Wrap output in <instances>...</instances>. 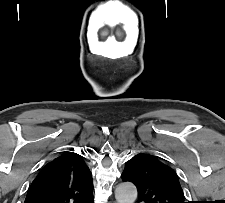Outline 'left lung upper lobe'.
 I'll return each instance as SVG.
<instances>
[{"label": "left lung upper lobe", "mask_w": 225, "mask_h": 203, "mask_svg": "<svg viewBox=\"0 0 225 203\" xmlns=\"http://www.w3.org/2000/svg\"><path fill=\"white\" fill-rule=\"evenodd\" d=\"M121 177L135 184L139 202L185 203L176 173L153 155L139 153L133 156L127 161Z\"/></svg>", "instance_id": "obj_1"}]
</instances>
